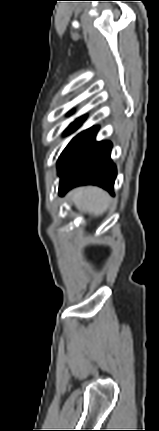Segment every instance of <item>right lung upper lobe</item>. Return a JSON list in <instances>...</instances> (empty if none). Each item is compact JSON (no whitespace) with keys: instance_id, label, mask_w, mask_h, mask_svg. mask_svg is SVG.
<instances>
[{"instance_id":"right-lung-upper-lobe-1","label":"right lung upper lobe","mask_w":159,"mask_h":431,"mask_svg":"<svg viewBox=\"0 0 159 431\" xmlns=\"http://www.w3.org/2000/svg\"><path fill=\"white\" fill-rule=\"evenodd\" d=\"M86 117H79L77 120L84 121Z\"/></svg>"}]
</instances>
